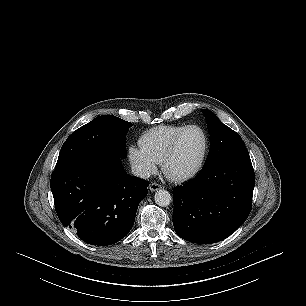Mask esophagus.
<instances>
[{
    "instance_id": "obj_1",
    "label": "esophagus",
    "mask_w": 306,
    "mask_h": 306,
    "mask_svg": "<svg viewBox=\"0 0 306 306\" xmlns=\"http://www.w3.org/2000/svg\"><path fill=\"white\" fill-rule=\"evenodd\" d=\"M161 188H162V186L160 184H157V183H151L150 186H149V189L152 192L157 191Z\"/></svg>"
}]
</instances>
